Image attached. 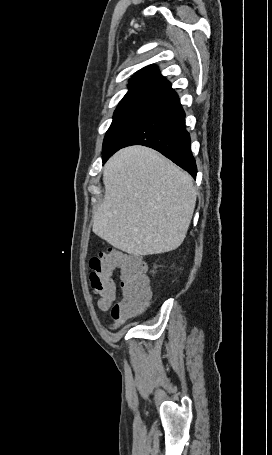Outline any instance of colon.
<instances>
[{
	"mask_svg": "<svg viewBox=\"0 0 272 455\" xmlns=\"http://www.w3.org/2000/svg\"><path fill=\"white\" fill-rule=\"evenodd\" d=\"M89 266L91 287L99 297L98 306L103 310L111 308V316L116 323H123L145 309L151 290L141 258L110 248L91 258ZM115 273L119 274V283ZM118 287L122 297L114 302Z\"/></svg>",
	"mask_w": 272,
	"mask_h": 455,
	"instance_id": "5ec220e1",
	"label": "colon"
}]
</instances>
